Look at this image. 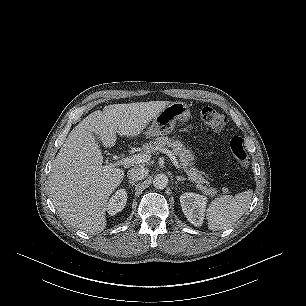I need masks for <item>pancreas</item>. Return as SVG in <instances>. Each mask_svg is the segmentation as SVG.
<instances>
[{
  "mask_svg": "<svg viewBox=\"0 0 306 306\" xmlns=\"http://www.w3.org/2000/svg\"><path fill=\"white\" fill-rule=\"evenodd\" d=\"M171 148L172 153L179 158L182 170L188 175L191 182L196 184V188L203 194L213 197L217 191L210 187V183L202 176V172L193 166L194 155L191 150L186 149L179 140L168 138L167 136L158 137L142 147L143 153L155 154L162 150Z\"/></svg>",
  "mask_w": 306,
  "mask_h": 306,
  "instance_id": "cf45deb5",
  "label": "pancreas"
}]
</instances>
